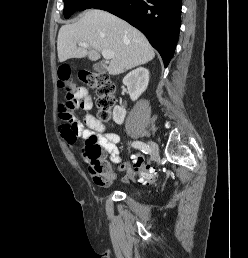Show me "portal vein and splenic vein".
Instances as JSON below:
<instances>
[{"mask_svg": "<svg viewBox=\"0 0 248 258\" xmlns=\"http://www.w3.org/2000/svg\"><path fill=\"white\" fill-rule=\"evenodd\" d=\"M80 47H83V48H88L89 47V44L87 43H79L78 44ZM102 55L103 57L106 59V60H110L113 58V53L108 51V50H103L102 51Z\"/></svg>", "mask_w": 248, "mask_h": 258, "instance_id": "portal-vein-and-splenic-vein-1", "label": "portal vein and splenic vein"}]
</instances>
